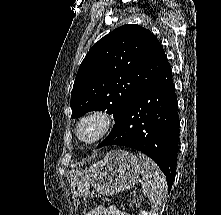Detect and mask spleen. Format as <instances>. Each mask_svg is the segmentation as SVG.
<instances>
[{
    "label": "spleen",
    "mask_w": 221,
    "mask_h": 215,
    "mask_svg": "<svg viewBox=\"0 0 221 215\" xmlns=\"http://www.w3.org/2000/svg\"><path fill=\"white\" fill-rule=\"evenodd\" d=\"M141 175L143 178L142 193L151 201L152 208L157 210L163 202L167 191V181L157 164L146 155L139 153Z\"/></svg>",
    "instance_id": "obj_1"
}]
</instances>
